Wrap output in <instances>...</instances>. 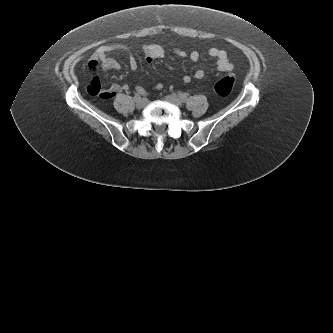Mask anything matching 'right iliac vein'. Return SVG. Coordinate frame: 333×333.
<instances>
[{
	"instance_id": "1",
	"label": "right iliac vein",
	"mask_w": 333,
	"mask_h": 333,
	"mask_svg": "<svg viewBox=\"0 0 333 333\" xmlns=\"http://www.w3.org/2000/svg\"><path fill=\"white\" fill-rule=\"evenodd\" d=\"M148 104V100L146 98L139 99L136 101V107L138 109L144 108Z\"/></svg>"
}]
</instances>
